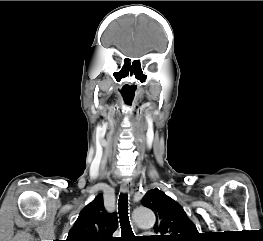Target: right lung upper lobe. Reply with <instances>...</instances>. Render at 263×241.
Here are the masks:
<instances>
[{
    "label": "right lung upper lobe",
    "mask_w": 263,
    "mask_h": 241,
    "mask_svg": "<svg viewBox=\"0 0 263 241\" xmlns=\"http://www.w3.org/2000/svg\"><path fill=\"white\" fill-rule=\"evenodd\" d=\"M117 225L116 214L105 210L103 195L98 194L82 209L66 241H115Z\"/></svg>",
    "instance_id": "obj_1"
}]
</instances>
